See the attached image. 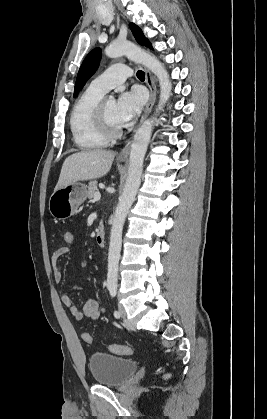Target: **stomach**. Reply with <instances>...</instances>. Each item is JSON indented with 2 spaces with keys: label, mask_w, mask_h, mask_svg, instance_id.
<instances>
[{
  "label": "stomach",
  "mask_w": 267,
  "mask_h": 419,
  "mask_svg": "<svg viewBox=\"0 0 267 419\" xmlns=\"http://www.w3.org/2000/svg\"><path fill=\"white\" fill-rule=\"evenodd\" d=\"M86 198L87 186L78 181L73 182L52 193L49 199L50 214L59 220L69 218L76 213Z\"/></svg>",
  "instance_id": "stomach-1"
}]
</instances>
